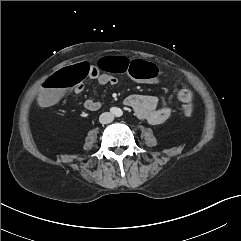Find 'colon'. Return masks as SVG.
Segmentation results:
<instances>
[{"label":"colon","mask_w":241,"mask_h":241,"mask_svg":"<svg viewBox=\"0 0 241 241\" xmlns=\"http://www.w3.org/2000/svg\"><path fill=\"white\" fill-rule=\"evenodd\" d=\"M100 65L106 71L119 74L128 72L136 78L151 79L157 74L156 66L143 59H138L134 62L126 57H106L101 60ZM90 73L91 66L86 61H79L66 66L64 70L59 71L47 80L39 95L40 104L42 106L55 104L67 89L76 87ZM179 97L184 102L182 107L183 114L188 117L191 116L194 108L188 101L189 94L180 92Z\"/></svg>","instance_id":"5ec220e1"}]
</instances>
